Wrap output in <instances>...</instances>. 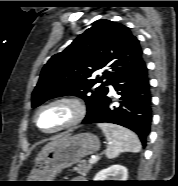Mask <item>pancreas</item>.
I'll list each match as a JSON object with an SVG mask.
<instances>
[{"label":"pancreas","instance_id":"cf45deb5","mask_svg":"<svg viewBox=\"0 0 178 186\" xmlns=\"http://www.w3.org/2000/svg\"><path fill=\"white\" fill-rule=\"evenodd\" d=\"M92 167V164H86L82 161L78 164L77 167H74L73 170L76 171L78 174L85 176L92 169Z\"/></svg>","mask_w":178,"mask_h":186}]
</instances>
